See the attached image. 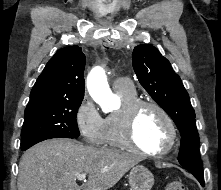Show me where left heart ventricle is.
Listing matches in <instances>:
<instances>
[{"label": "left heart ventricle", "mask_w": 221, "mask_h": 190, "mask_svg": "<svg viewBox=\"0 0 221 190\" xmlns=\"http://www.w3.org/2000/svg\"><path fill=\"white\" fill-rule=\"evenodd\" d=\"M133 135L139 147L159 150L168 143L169 129L158 111L151 107H143L136 115Z\"/></svg>", "instance_id": "left-heart-ventricle-1"}]
</instances>
